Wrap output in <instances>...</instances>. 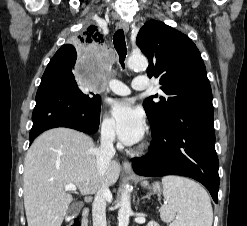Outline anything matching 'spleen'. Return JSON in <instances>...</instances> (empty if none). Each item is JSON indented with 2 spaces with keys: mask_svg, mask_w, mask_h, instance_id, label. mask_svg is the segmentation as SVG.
Wrapping results in <instances>:
<instances>
[{
  "mask_svg": "<svg viewBox=\"0 0 247 226\" xmlns=\"http://www.w3.org/2000/svg\"><path fill=\"white\" fill-rule=\"evenodd\" d=\"M165 204L160 209L170 226H212L213 211L208 193L195 181L179 176L162 179Z\"/></svg>",
  "mask_w": 247,
  "mask_h": 226,
  "instance_id": "1",
  "label": "spleen"
}]
</instances>
